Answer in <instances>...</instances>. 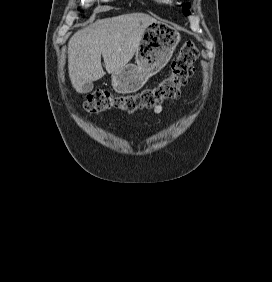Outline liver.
Segmentation results:
<instances>
[{"mask_svg": "<svg viewBox=\"0 0 272 282\" xmlns=\"http://www.w3.org/2000/svg\"><path fill=\"white\" fill-rule=\"evenodd\" d=\"M156 19L143 13L123 14L96 21L76 32L68 43V70L72 86L82 93L83 85L113 74L133 58L145 29Z\"/></svg>", "mask_w": 272, "mask_h": 282, "instance_id": "6515ba94", "label": "liver"}]
</instances>
